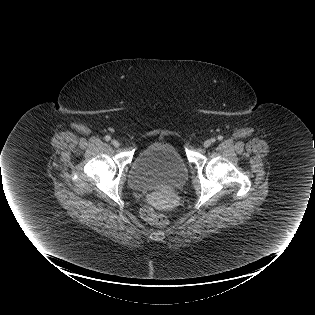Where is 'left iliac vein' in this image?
<instances>
[{
  "label": "left iliac vein",
  "mask_w": 315,
  "mask_h": 315,
  "mask_svg": "<svg viewBox=\"0 0 315 315\" xmlns=\"http://www.w3.org/2000/svg\"><path fill=\"white\" fill-rule=\"evenodd\" d=\"M211 144H212V141H211V140H206V141L204 142L203 146H204L205 148H207V147H209Z\"/></svg>",
  "instance_id": "obj_1"
}]
</instances>
